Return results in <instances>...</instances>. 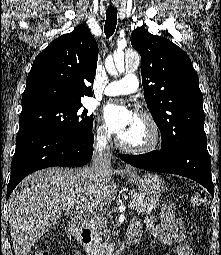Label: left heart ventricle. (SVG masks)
Instances as JSON below:
<instances>
[{
    "mask_svg": "<svg viewBox=\"0 0 221 255\" xmlns=\"http://www.w3.org/2000/svg\"><path fill=\"white\" fill-rule=\"evenodd\" d=\"M119 137L126 144L142 145L150 140L151 134L148 125L134 116L130 126Z\"/></svg>",
    "mask_w": 221,
    "mask_h": 255,
    "instance_id": "obj_1",
    "label": "left heart ventricle"
}]
</instances>
